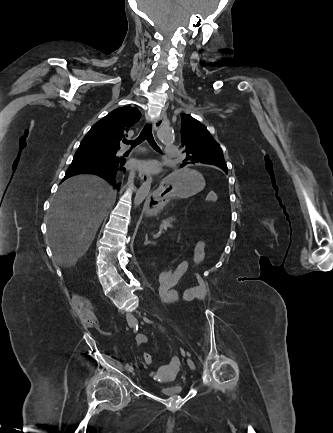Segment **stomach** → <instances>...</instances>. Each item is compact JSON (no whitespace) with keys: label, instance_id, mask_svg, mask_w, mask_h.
I'll list each match as a JSON object with an SVG mask.
<instances>
[{"label":"stomach","instance_id":"obj_1","mask_svg":"<svg viewBox=\"0 0 333 433\" xmlns=\"http://www.w3.org/2000/svg\"><path fill=\"white\" fill-rule=\"evenodd\" d=\"M198 169H176L174 174L163 176L162 183L155 186L146 213L150 220H156L163 213L165 197L181 199L197 194L204 188Z\"/></svg>","mask_w":333,"mask_h":433}]
</instances>
